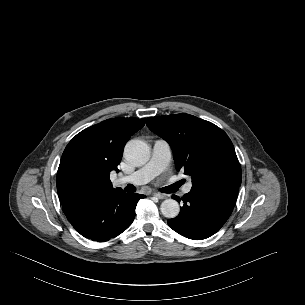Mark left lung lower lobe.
<instances>
[{
	"mask_svg": "<svg viewBox=\"0 0 305 305\" xmlns=\"http://www.w3.org/2000/svg\"><path fill=\"white\" fill-rule=\"evenodd\" d=\"M237 186H223L211 189H196L182 198L173 195L176 201H183L180 213L169 219L168 225L180 235L202 240L215 234L227 221L234 208Z\"/></svg>",
	"mask_w": 305,
	"mask_h": 305,
	"instance_id": "obj_1",
	"label": "left lung lower lobe"
}]
</instances>
